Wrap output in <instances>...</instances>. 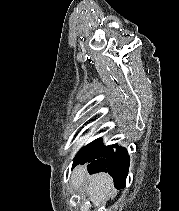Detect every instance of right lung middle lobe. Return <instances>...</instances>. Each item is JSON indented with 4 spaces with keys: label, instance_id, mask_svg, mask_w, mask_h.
I'll return each instance as SVG.
<instances>
[{
    "label": "right lung middle lobe",
    "instance_id": "right-lung-middle-lobe-1",
    "mask_svg": "<svg viewBox=\"0 0 179 211\" xmlns=\"http://www.w3.org/2000/svg\"><path fill=\"white\" fill-rule=\"evenodd\" d=\"M102 146H103V143H102L101 138L96 139L95 141L91 142L90 144H88L87 146H85L78 152V154L76 155L74 159V163H77L78 161H81L84 158L90 156L91 154L99 150Z\"/></svg>",
    "mask_w": 179,
    "mask_h": 211
}]
</instances>
